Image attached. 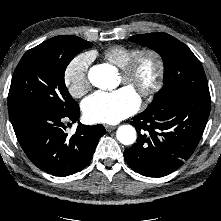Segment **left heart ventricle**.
I'll use <instances>...</instances> for the list:
<instances>
[{"label": "left heart ventricle", "instance_id": "left-heart-ventricle-1", "mask_svg": "<svg viewBox=\"0 0 221 221\" xmlns=\"http://www.w3.org/2000/svg\"><path fill=\"white\" fill-rule=\"evenodd\" d=\"M156 76V63L152 57H145L140 62L132 82L126 84L121 75L120 82L131 88L138 95L141 90L148 88Z\"/></svg>", "mask_w": 221, "mask_h": 221}]
</instances>
